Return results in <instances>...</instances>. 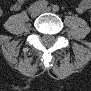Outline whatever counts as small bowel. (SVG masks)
<instances>
[{"label": "small bowel", "instance_id": "1", "mask_svg": "<svg viewBox=\"0 0 91 91\" xmlns=\"http://www.w3.org/2000/svg\"><path fill=\"white\" fill-rule=\"evenodd\" d=\"M22 3L21 2H16L11 6V10H19L21 7ZM91 6V2L89 0H83L81 1L78 6H77V11L78 12H85L87 11Z\"/></svg>", "mask_w": 91, "mask_h": 91}]
</instances>
